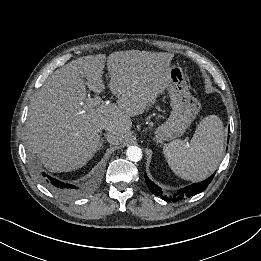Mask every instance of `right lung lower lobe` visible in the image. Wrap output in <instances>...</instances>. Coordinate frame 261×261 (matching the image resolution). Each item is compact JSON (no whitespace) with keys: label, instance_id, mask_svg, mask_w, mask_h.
Wrapping results in <instances>:
<instances>
[{"label":"right lung lower lobe","instance_id":"1","mask_svg":"<svg viewBox=\"0 0 261 261\" xmlns=\"http://www.w3.org/2000/svg\"><path fill=\"white\" fill-rule=\"evenodd\" d=\"M42 176L46 184L53 190L59 192L60 194L76 197L83 193V190L81 188L74 186L72 184L63 183L59 180H56L48 176L46 173H42Z\"/></svg>","mask_w":261,"mask_h":261}]
</instances>
